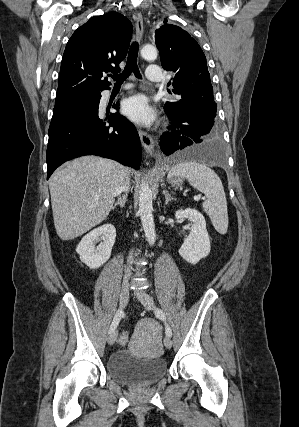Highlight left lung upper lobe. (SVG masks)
<instances>
[{
    "label": "left lung upper lobe",
    "mask_w": 299,
    "mask_h": 427,
    "mask_svg": "<svg viewBox=\"0 0 299 427\" xmlns=\"http://www.w3.org/2000/svg\"><path fill=\"white\" fill-rule=\"evenodd\" d=\"M155 38L163 68L175 75L173 92L180 96L178 101L166 102L164 108L172 110L179 103L200 102L211 108V116L216 118L206 57L197 41L182 28L169 24L157 29Z\"/></svg>",
    "instance_id": "left-lung-upper-lobe-1"
}]
</instances>
